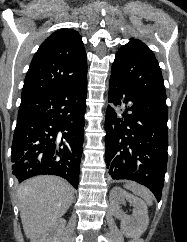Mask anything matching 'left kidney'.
<instances>
[{
    "instance_id": "5707ae66",
    "label": "left kidney",
    "mask_w": 187,
    "mask_h": 242,
    "mask_svg": "<svg viewBox=\"0 0 187 242\" xmlns=\"http://www.w3.org/2000/svg\"><path fill=\"white\" fill-rule=\"evenodd\" d=\"M109 199L113 215L121 220L122 233L130 238L141 236L149 224L148 209L144 201L120 187L111 189ZM125 200L134 207L132 216L126 215L120 208V204H124Z\"/></svg>"
}]
</instances>
